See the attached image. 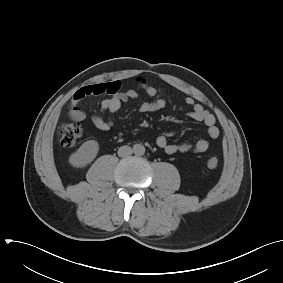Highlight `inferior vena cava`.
<instances>
[{"label":"inferior vena cava","instance_id":"obj_1","mask_svg":"<svg viewBox=\"0 0 283 283\" xmlns=\"http://www.w3.org/2000/svg\"><path fill=\"white\" fill-rule=\"evenodd\" d=\"M133 153V150L130 146H121L119 149H118V156L119 157H126V156H129Z\"/></svg>","mask_w":283,"mask_h":283}]
</instances>
